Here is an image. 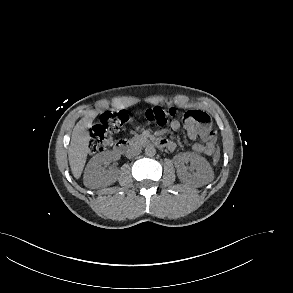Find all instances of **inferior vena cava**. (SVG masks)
I'll return each instance as SVG.
<instances>
[{
    "label": "inferior vena cava",
    "instance_id": "inferior-vena-cava-1",
    "mask_svg": "<svg viewBox=\"0 0 293 293\" xmlns=\"http://www.w3.org/2000/svg\"><path fill=\"white\" fill-rule=\"evenodd\" d=\"M141 153V149L139 147H133L127 152V157L132 158L134 156H137Z\"/></svg>",
    "mask_w": 293,
    "mask_h": 293
}]
</instances>
